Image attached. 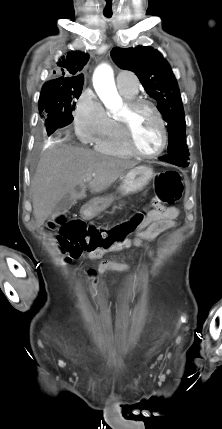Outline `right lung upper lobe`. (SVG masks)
I'll list each match as a JSON object with an SVG mask.
<instances>
[{
	"mask_svg": "<svg viewBox=\"0 0 222 429\" xmlns=\"http://www.w3.org/2000/svg\"><path fill=\"white\" fill-rule=\"evenodd\" d=\"M89 55L80 51H72L62 56L58 62L56 79L46 82L43 86H71L84 83V77L80 73L87 63Z\"/></svg>",
	"mask_w": 222,
	"mask_h": 429,
	"instance_id": "right-lung-upper-lobe-1",
	"label": "right lung upper lobe"
}]
</instances>
